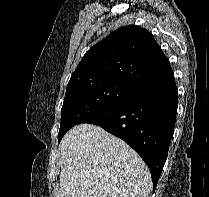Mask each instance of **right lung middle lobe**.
Wrapping results in <instances>:
<instances>
[{"label": "right lung middle lobe", "instance_id": "1", "mask_svg": "<svg viewBox=\"0 0 209 197\" xmlns=\"http://www.w3.org/2000/svg\"><path fill=\"white\" fill-rule=\"evenodd\" d=\"M136 90L116 80L79 81L67 85L58 141L73 126L113 106Z\"/></svg>", "mask_w": 209, "mask_h": 197}]
</instances>
